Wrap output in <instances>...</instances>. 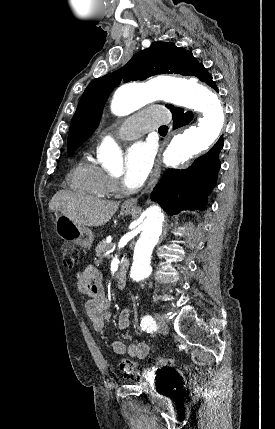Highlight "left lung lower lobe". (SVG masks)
<instances>
[{
	"label": "left lung lower lobe",
	"instance_id": "0a47b994",
	"mask_svg": "<svg viewBox=\"0 0 275 429\" xmlns=\"http://www.w3.org/2000/svg\"><path fill=\"white\" fill-rule=\"evenodd\" d=\"M197 77L218 92L212 76L202 67ZM174 125L179 128L188 124L193 114L184 113L181 108L173 107ZM223 148V137L205 155L197 158L184 170L168 169L151 193V199L157 201L167 213L174 214L182 210H205L207 195L214 188L217 172L220 168L218 154Z\"/></svg>",
	"mask_w": 275,
	"mask_h": 429
}]
</instances>
